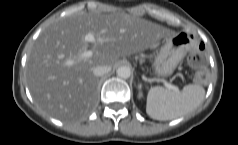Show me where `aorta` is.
<instances>
[{
	"label": "aorta",
	"instance_id": "1",
	"mask_svg": "<svg viewBox=\"0 0 238 145\" xmlns=\"http://www.w3.org/2000/svg\"><path fill=\"white\" fill-rule=\"evenodd\" d=\"M116 74L120 78L127 79L131 75L130 67H128V66H120V67L117 68Z\"/></svg>",
	"mask_w": 238,
	"mask_h": 145
}]
</instances>
